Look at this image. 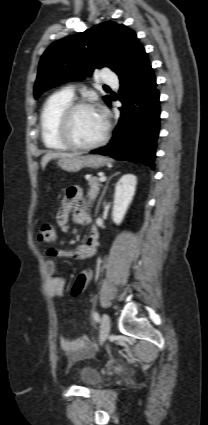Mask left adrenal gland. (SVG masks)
<instances>
[{
	"label": "left adrenal gland",
	"instance_id": "left-adrenal-gland-1",
	"mask_svg": "<svg viewBox=\"0 0 208 425\" xmlns=\"http://www.w3.org/2000/svg\"><path fill=\"white\" fill-rule=\"evenodd\" d=\"M118 174H120V172H115L113 175H111L110 176V178L108 179V181H107V183H106V185H105V187H104V189H103V192H102V194H101V196H100V198H99V201H98V204H97V207H96V211H95V214L97 215L98 214V212H99V208H100V204H101V201H102V199H103V197H104V195H105V192H106V190H107V187H108V184H109V181L114 177V176H116V175H118Z\"/></svg>",
	"mask_w": 208,
	"mask_h": 425
}]
</instances>
